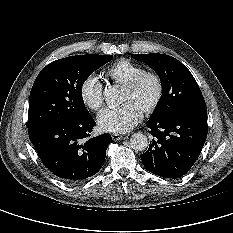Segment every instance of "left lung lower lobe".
I'll use <instances>...</instances> for the list:
<instances>
[{"label": "left lung lower lobe", "mask_w": 233, "mask_h": 233, "mask_svg": "<svg viewBox=\"0 0 233 233\" xmlns=\"http://www.w3.org/2000/svg\"><path fill=\"white\" fill-rule=\"evenodd\" d=\"M155 137L141 155L144 167L164 178L185 175L197 160L207 137V112L181 111L149 122Z\"/></svg>", "instance_id": "left-lung-lower-lobe-1"}]
</instances>
